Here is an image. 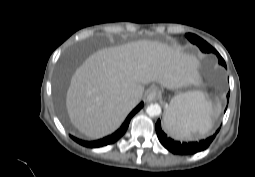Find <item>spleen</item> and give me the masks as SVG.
<instances>
[{
  "label": "spleen",
  "mask_w": 255,
  "mask_h": 177,
  "mask_svg": "<svg viewBox=\"0 0 255 177\" xmlns=\"http://www.w3.org/2000/svg\"><path fill=\"white\" fill-rule=\"evenodd\" d=\"M165 117V129L176 139L188 140L192 134L207 133L212 128L213 108L202 92L175 96Z\"/></svg>",
  "instance_id": "1"
}]
</instances>
